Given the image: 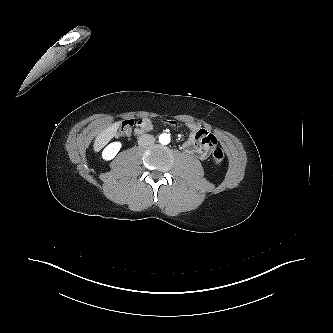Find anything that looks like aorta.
Returning <instances> with one entry per match:
<instances>
[{
    "label": "aorta",
    "instance_id": "1",
    "mask_svg": "<svg viewBox=\"0 0 333 333\" xmlns=\"http://www.w3.org/2000/svg\"><path fill=\"white\" fill-rule=\"evenodd\" d=\"M170 135L169 134H166V133H163L159 136V142L163 145H167L170 143Z\"/></svg>",
    "mask_w": 333,
    "mask_h": 333
}]
</instances>
